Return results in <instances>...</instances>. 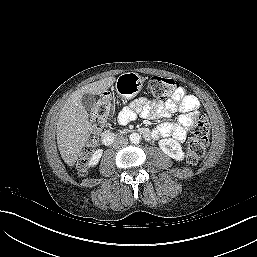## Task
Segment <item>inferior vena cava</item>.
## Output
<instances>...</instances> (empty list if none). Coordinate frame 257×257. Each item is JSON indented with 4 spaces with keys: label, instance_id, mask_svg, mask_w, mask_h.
Listing matches in <instances>:
<instances>
[{
    "label": "inferior vena cava",
    "instance_id": "602c4592",
    "mask_svg": "<svg viewBox=\"0 0 257 257\" xmlns=\"http://www.w3.org/2000/svg\"><path fill=\"white\" fill-rule=\"evenodd\" d=\"M127 144H128V139L124 136H120L116 138L113 147L120 148V147L126 146Z\"/></svg>",
    "mask_w": 257,
    "mask_h": 257
}]
</instances>
